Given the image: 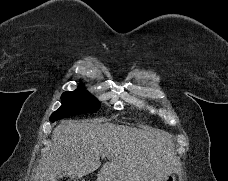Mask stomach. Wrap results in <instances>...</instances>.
Returning a JSON list of instances; mask_svg holds the SVG:
<instances>
[{"instance_id": "stomach-1", "label": "stomach", "mask_w": 228, "mask_h": 181, "mask_svg": "<svg viewBox=\"0 0 228 181\" xmlns=\"http://www.w3.org/2000/svg\"><path fill=\"white\" fill-rule=\"evenodd\" d=\"M165 181H176V177H175V175H168V177H166Z\"/></svg>"}]
</instances>
